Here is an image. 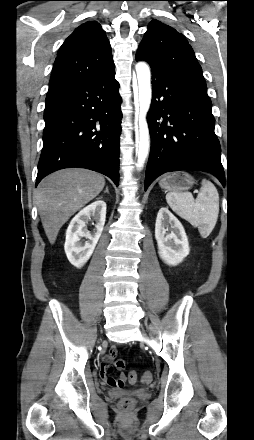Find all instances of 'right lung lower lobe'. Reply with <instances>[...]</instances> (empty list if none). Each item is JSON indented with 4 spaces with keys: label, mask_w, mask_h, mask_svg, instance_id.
I'll return each mask as SVG.
<instances>
[{
    "label": "right lung lower lobe",
    "mask_w": 254,
    "mask_h": 440,
    "mask_svg": "<svg viewBox=\"0 0 254 440\" xmlns=\"http://www.w3.org/2000/svg\"><path fill=\"white\" fill-rule=\"evenodd\" d=\"M115 68L48 90L36 186L48 174L81 167L119 182L121 133Z\"/></svg>",
    "instance_id": "obj_1"
}]
</instances>
